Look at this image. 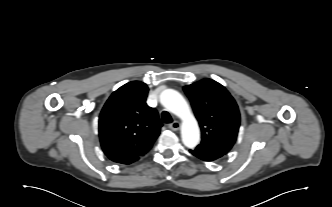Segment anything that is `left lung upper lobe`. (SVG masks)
Segmentation results:
<instances>
[{
	"mask_svg": "<svg viewBox=\"0 0 332 207\" xmlns=\"http://www.w3.org/2000/svg\"><path fill=\"white\" fill-rule=\"evenodd\" d=\"M201 128V143L197 149L220 155L233 146L240 125L238 106L224 86L203 79L184 87Z\"/></svg>",
	"mask_w": 332,
	"mask_h": 207,
	"instance_id": "1",
	"label": "left lung upper lobe"
}]
</instances>
